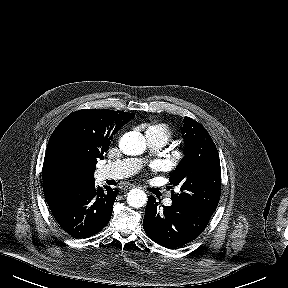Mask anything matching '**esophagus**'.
I'll return each instance as SVG.
<instances>
[{
    "label": "esophagus",
    "instance_id": "1",
    "mask_svg": "<svg viewBox=\"0 0 288 288\" xmlns=\"http://www.w3.org/2000/svg\"><path fill=\"white\" fill-rule=\"evenodd\" d=\"M132 187H134V186H128L127 189H131Z\"/></svg>",
    "mask_w": 288,
    "mask_h": 288
}]
</instances>
